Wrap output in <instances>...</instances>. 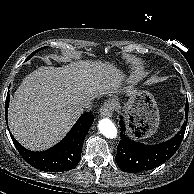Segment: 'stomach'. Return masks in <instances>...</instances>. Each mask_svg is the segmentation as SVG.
<instances>
[{
  "instance_id": "1",
  "label": "stomach",
  "mask_w": 194,
  "mask_h": 194,
  "mask_svg": "<svg viewBox=\"0 0 194 194\" xmlns=\"http://www.w3.org/2000/svg\"><path fill=\"white\" fill-rule=\"evenodd\" d=\"M119 109L121 106H117ZM130 131L142 138L151 137L156 133L160 115L153 95L145 90L134 91L123 107Z\"/></svg>"
}]
</instances>
